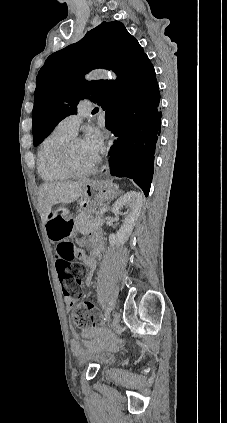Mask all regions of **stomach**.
<instances>
[{
    "mask_svg": "<svg viewBox=\"0 0 227 423\" xmlns=\"http://www.w3.org/2000/svg\"><path fill=\"white\" fill-rule=\"evenodd\" d=\"M118 194V186L112 184V182H106V180H91L88 184H85L78 200V208L86 213L95 211L99 204L103 202H111Z\"/></svg>",
    "mask_w": 227,
    "mask_h": 423,
    "instance_id": "0dacf381",
    "label": "stomach"
}]
</instances>
